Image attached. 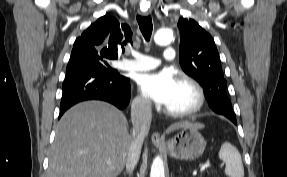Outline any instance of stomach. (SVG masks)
Wrapping results in <instances>:
<instances>
[{
    "instance_id": "0dacf381",
    "label": "stomach",
    "mask_w": 287,
    "mask_h": 177,
    "mask_svg": "<svg viewBox=\"0 0 287 177\" xmlns=\"http://www.w3.org/2000/svg\"><path fill=\"white\" fill-rule=\"evenodd\" d=\"M205 147L206 142L198 130L186 126L168 141L166 149L173 158L195 160L203 154Z\"/></svg>"
}]
</instances>
